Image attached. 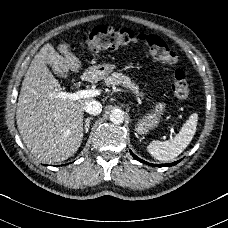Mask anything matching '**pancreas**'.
<instances>
[{
    "instance_id": "cf45deb5",
    "label": "pancreas",
    "mask_w": 228,
    "mask_h": 228,
    "mask_svg": "<svg viewBox=\"0 0 228 228\" xmlns=\"http://www.w3.org/2000/svg\"><path fill=\"white\" fill-rule=\"evenodd\" d=\"M106 86L122 85L123 87L132 91L136 96H143V93L139 92V87L136 85L130 77L123 75L122 73L113 72L110 76L104 79Z\"/></svg>"
}]
</instances>
